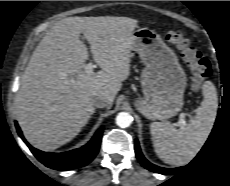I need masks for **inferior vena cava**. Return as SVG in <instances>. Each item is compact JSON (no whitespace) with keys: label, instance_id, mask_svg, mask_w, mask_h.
<instances>
[{"label":"inferior vena cava","instance_id":"1","mask_svg":"<svg viewBox=\"0 0 230 186\" xmlns=\"http://www.w3.org/2000/svg\"><path fill=\"white\" fill-rule=\"evenodd\" d=\"M92 103L96 107L103 108L108 106L109 100L104 95H97L92 99Z\"/></svg>","mask_w":230,"mask_h":186}]
</instances>
